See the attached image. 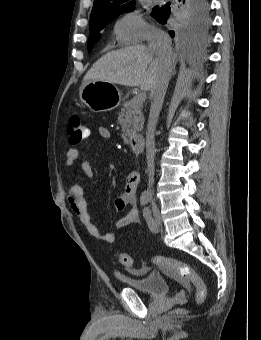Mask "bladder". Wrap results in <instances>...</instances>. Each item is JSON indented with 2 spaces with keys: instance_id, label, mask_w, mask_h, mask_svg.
<instances>
[{
  "instance_id": "1",
  "label": "bladder",
  "mask_w": 261,
  "mask_h": 340,
  "mask_svg": "<svg viewBox=\"0 0 261 340\" xmlns=\"http://www.w3.org/2000/svg\"><path fill=\"white\" fill-rule=\"evenodd\" d=\"M116 277L127 287L154 297L167 296L170 289L169 281L160 274L152 273L138 278L117 274Z\"/></svg>"
}]
</instances>
